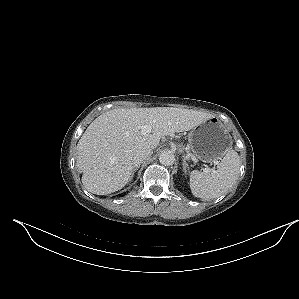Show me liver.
Wrapping results in <instances>:
<instances>
[{"label":"liver","instance_id":"obj_1","mask_svg":"<svg viewBox=\"0 0 299 299\" xmlns=\"http://www.w3.org/2000/svg\"><path fill=\"white\" fill-rule=\"evenodd\" d=\"M213 115L172 107L117 108L97 117L77 144V166L85 188L97 195L122 189L131 178L134 154L155 149L161 138L193 129ZM150 125L152 132L142 134Z\"/></svg>","mask_w":299,"mask_h":299}]
</instances>
